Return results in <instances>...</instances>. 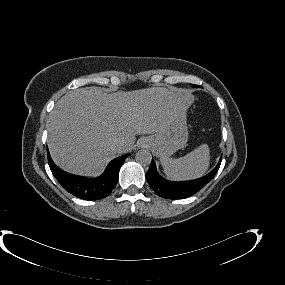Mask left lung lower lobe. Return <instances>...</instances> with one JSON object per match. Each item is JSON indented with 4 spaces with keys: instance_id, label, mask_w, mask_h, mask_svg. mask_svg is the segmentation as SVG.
Listing matches in <instances>:
<instances>
[{
    "instance_id": "1",
    "label": "left lung lower lobe",
    "mask_w": 285,
    "mask_h": 285,
    "mask_svg": "<svg viewBox=\"0 0 285 285\" xmlns=\"http://www.w3.org/2000/svg\"><path fill=\"white\" fill-rule=\"evenodd\" d=\"M220 164L221 159L219 160L218 165L204 177L186 182H170L163 179L158 174L156 165L154 161H152L146 174V179L150 187L158 196L166 199H184L202 189L215 176Z\"/></svg>"
}]
</instances>
